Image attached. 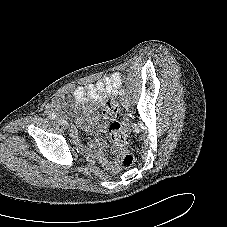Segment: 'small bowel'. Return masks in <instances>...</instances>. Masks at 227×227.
Instances as JSON below:
<instances>
[{
  "instance_id": "small-bowel-1",
  "label": "small bowel",
  "mask_w": 227,
  "mask_h": 227,
  "mask_svg": "<svg viewBox=\"0 0 227 227\" xmlns=\"http://www.w3.org/2000/svg\"><path fill=\"white\" fill-rule=\"evenodd\" d=\"M121 82L122 79L120 73L114 72L95 83H89L76 87L73 91V96L77 102H83L89 98L102 103L108 95H113L116 93L117 89L121 85ZM63 101L64 99L61 97L56 98L48 110H58V107L63 103ZM71 134L75 140H78V133L75 128H72ZM96 144L98 147V158L101 164L105 168H108L113 172H117L119 170L117 164L108 161L102 154L105 148L104 141L98 139Z\"/></svg>"
}]
</instances>
